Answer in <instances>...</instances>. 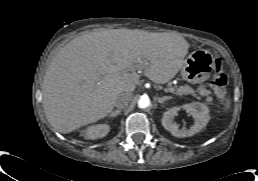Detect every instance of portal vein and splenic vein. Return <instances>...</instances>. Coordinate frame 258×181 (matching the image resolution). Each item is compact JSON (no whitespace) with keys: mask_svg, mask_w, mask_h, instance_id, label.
<instances>
[{"mask_svg":"<svg viewBox=\"0 0 258 181\" xmlns=\"http://www.w3.org/2000/svg\"><path fill=\"white\" fill-rule=\"evenodd\" d=\"M167 92H171V93H173V92H174L173 87H169V88H167Z\"/></svg>","mask_w":258,"mask_h":181,"instance_id":"portal-vein-and-splenic-vein-1","label":"portal vein and splenic vein"}]
</instances>
